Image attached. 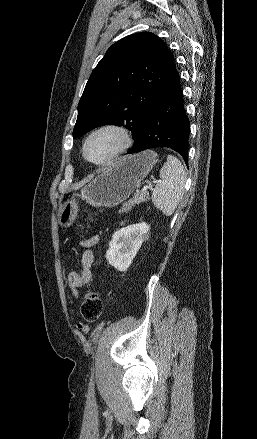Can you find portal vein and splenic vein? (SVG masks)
<instances>
[{
	"mask_svg": "<svg viewBox=\"0 0 257 439\" xmlns=\"http://www.w3.org/2000/svg\"><path fill=\"white\" fill-rule=\"evenodd\" d=\"M157 182H158L157 180L153 181V183H157ZM150 187H151V184L149 186H144L142 189V192H146L148 189H150Z\"/></svg>",
	"mask_w": 257,
	"mask_h": 439,
	"instance_id": "1",
	"label": "portal vein and splenic vein"
}]
</instances>
